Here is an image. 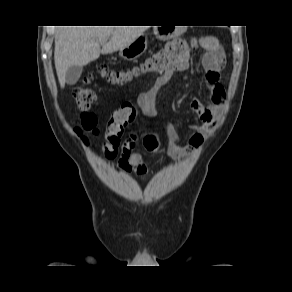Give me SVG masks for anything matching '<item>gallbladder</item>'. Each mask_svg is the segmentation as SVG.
Returning <instances> with one entry per match:
<instances>
[{"instance_id": "bac80fb5", "label": "gallbladder", "mask_w": 292, "mask_h": 292, "mask_svg": "<svg viewBox=\"0 0 292 292\" xmlns=\"http://www.w3.org/2000/svg\"><path fill=\"white\" fill-rule=\"evenodd\" d=\"M83 68L80 66H71L66 71L65 80L68 85H74L81 77Z\"/></svg>"}]
</instances>
